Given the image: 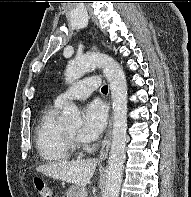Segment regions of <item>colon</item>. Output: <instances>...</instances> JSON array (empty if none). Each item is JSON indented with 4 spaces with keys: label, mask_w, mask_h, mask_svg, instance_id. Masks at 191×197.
Listing matches in <instances>:
<instances>
[{
    "label": "colon",
    "mask_w": 191,
    "mask_h": 197,
    "mask_svg": "<svg viewBox=\"0 0 191 197\" xmlns=\"http://www.w3.org/2000/svg\"><path fill=\"white\" fill-rule=\"evenodd\" d=\"M35 186L39 197H52V192L50 187L42 179L37 178L35 180Z\"/></svg>",
    "instance_id": "1"
}]
</instances>
